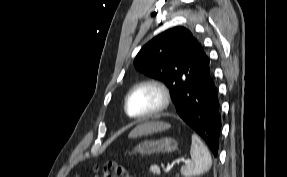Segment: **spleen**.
Segmentation results:
<instances>
[{
  "label": "spleen",
  "instance_id": "3e777b00",
  "mask_svg": "<svg viewBox=\"0 0 287 177\" xmlns=\"http://www.w3.org/2000/svg\"><path fill=\"white\" fill-rule=\"evenodd\" d=\"M192 160H189L181 167V174L185 177H193L207 172L211 165L212 159L207 147L200 138L192 135V144L190 149Z\"/></svg>",
  "mask_w": 287,
  "mask_h": 177
}]
</instances>
